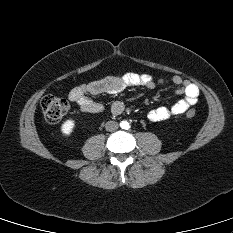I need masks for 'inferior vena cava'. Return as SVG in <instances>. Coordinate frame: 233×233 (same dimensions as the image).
I'll return each instance as SVG.
<instances>
[{
	"label": "inferior vena cava",
	"mask_w": 233,
	"mask_h": 233,
	"mask_svg": "<svg viewBox=\"0 0 233 233\" xmlns=\"http://www.w3.org/2000/svg\"><path fill=\"white\" fill-rule=\"evenodd\" d=\"M105 128H106L107 131L113 132V131H116L119 128V124L117 122H115V121H108L105 124Z\"/></svg>",
	"instance_id": "obj_1"
}]
</instances>
